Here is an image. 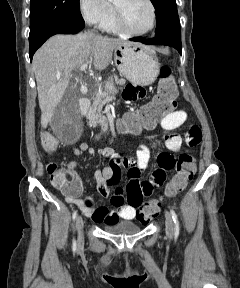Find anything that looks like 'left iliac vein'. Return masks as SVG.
<instances>
[{"label":"left iliac vein","mask_w":240,"mask_h":288,"mask_svg":"<svg viewBox=\"0 0 240 288\" xmlns=\"http://www.w3.org/2000/svg\"><path fill=\"white\" fill-rule=\"evenodd\" d=\"M165 222H166V235L168 238L171 239L174 233V224L172 216L168 211H165Z\"/></svg>","instance_id":"4c4485c4"}]
</instances>
